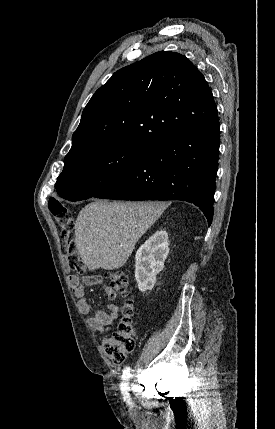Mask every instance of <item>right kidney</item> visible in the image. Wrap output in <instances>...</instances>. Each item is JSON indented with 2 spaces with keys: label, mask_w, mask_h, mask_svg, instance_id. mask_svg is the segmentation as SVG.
Masks as SVG:
<instances>
[{
  "label": "right kidney",
  "mask_w": 275,
  "mask_h": 429,
  "mask_svg": "<svg viewBox=\"0 0 275 429\" xmlns=\"http://www.w3.org/2000/svg\"><path fill=\"white\" fill-rule=\"evenodd\" d=\"M168 253L169 240L166 230L157 231L137 250L135 279L141 292L154 287L156 275L163 270Z\"/></svg>",
  "instance_id": "ca27d5eb"
}]
</instances>
